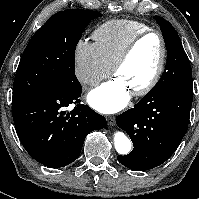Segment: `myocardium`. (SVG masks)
I'll use <instances>...</instances> for the list:
<instances>
[{
	"label": "myocardium",
	"mask_w": 199,
	"mask_h": 199,
	"mask_svg": "<svg viewBox=\"0 0 199 199\" xmlns=\"http://www.w3.org/2000/svg\"><path fill=\"white\" fill-rule=\"evenodd\" d=\"M149 35H155L158 37V39L160 41V46H161V54H160L157 68H156L153 76L150 78V80L145 85L132 91V94L134 96H145V95L149 94L157 86V84L159 83V81L163 75L165 65H166L168 50H167L166 40H165L164 36L162 35V33L156 29H148V30H145V31L141 32L140 34L136 35L125 46V48L117 56V58L115 59L113 65H112V72L114 75H116L119 68L128 60V58L133 53V51L135 50V48L139 44V42Z\"/></svg>",
	"instance_id": "myocardium-1"
}]
</instances>
